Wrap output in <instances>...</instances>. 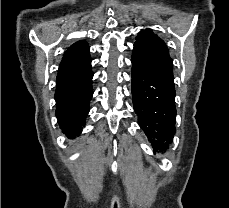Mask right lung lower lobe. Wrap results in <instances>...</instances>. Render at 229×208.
Masks as SVG:
<instances>
[{
	"instance_id": "98d812e1",
	"label": "right lung lower lobe",
	"mask_w": 229,
	"mask_h": 208,
	"mask_svg": "<svg viewBox=\"0 0 229 208\" xmlns=\"http://www.w3.org/2000/svg\"><path fill=\"white\" fill-rule=\"evenodd\" d=\"M92 77L90 65L85 74L56 87L55 115L63 133L69 138L79 136L85 126L93 95Z\"/></svg>"
}]
</instances>
